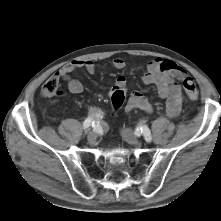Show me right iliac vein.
Returning a JSON list of instances; mask_svg holds the SVG:
<instances>
[{
    "label": "right iliac vein",
    "instance_id": "right-iliac-vein-1",
    "mask_svg": "<svg viewBox=\"0 0 221 221\" xmlns=\"http://www.w3.org/2000/svg\"><path fill=\"white\" fill-rule=\"evenodd\" d=\"M96 137H97L96 132H94V131L90 132L87 136L88 142L90 144H93L96 141Z\"/></svg>",
    "mask_w": 221,
    "mask_h": 221
}]
</instances>
